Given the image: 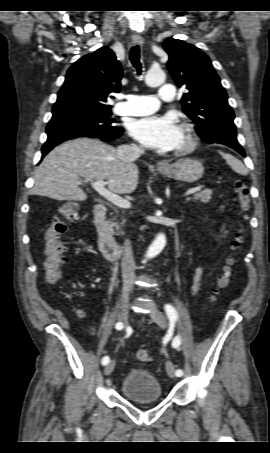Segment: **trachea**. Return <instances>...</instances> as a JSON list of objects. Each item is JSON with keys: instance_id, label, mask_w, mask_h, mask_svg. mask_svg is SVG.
<instances>
[{"instance_id": "trachea-1", "label": "trachea", "mask_w": 270, "mask_h": 453, "mask_svg": "<svg viewBox=\"0 0 270 453\" xmlns=\"http://www.w3.org/2000/svg\"><path fill=\"white\" fill-rule=\"evenodd\" d=\"M129 58H130L132 65L137 69L138 75H140L142 72V67H141V63H140V47H139V45H136L131 48Z\"/></svg>"}]
</instances>
